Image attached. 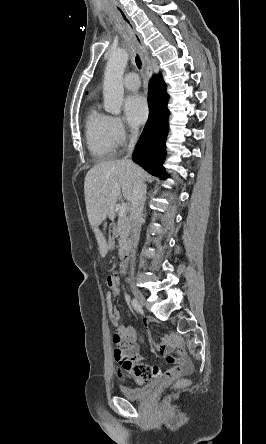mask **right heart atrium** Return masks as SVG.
Masks as SVG:
<instances>
[{"label":"right heart atrium","mask_w":266,"mask_h":444,"mask_svg":"<svg viewBox=\"0 0 266 444\" xmlns=\"http://www.w3.org/2000/svg\"><path fill=\"white\" fill-rule=\"evenodd\" d=\"M110 127L116 144H122L128 136V130L122 119L119 117H110Z\"/></svg>","instance_id":"d8ad5b80"}]
</instances>
